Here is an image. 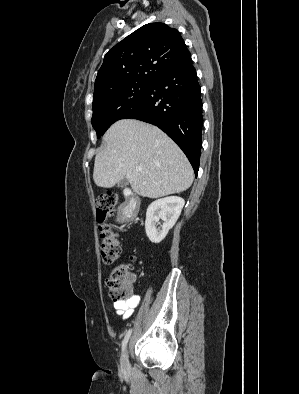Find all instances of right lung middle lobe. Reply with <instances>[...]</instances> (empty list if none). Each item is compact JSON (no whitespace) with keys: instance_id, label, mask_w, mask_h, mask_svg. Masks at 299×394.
I'll list each match as a JSON object with an SVG mask.
<instances>
[{"instance_id":"dd1d6c3e","label":"right lung middle lobe","mask_w":299,"mask_h":394,"mask_svg":"<svg viewBox=\"0 0 299 394\" xmlns=\"http://www.w3.org/2000/svg\"><path fill=\"white\" fill-rule=\"evenodd\" d=\"M151 83L136 82L100 92L93 98L92 126L99 138L144 96Z\"/></svg>"}]
</instances>
